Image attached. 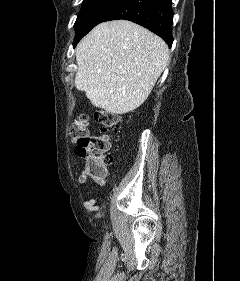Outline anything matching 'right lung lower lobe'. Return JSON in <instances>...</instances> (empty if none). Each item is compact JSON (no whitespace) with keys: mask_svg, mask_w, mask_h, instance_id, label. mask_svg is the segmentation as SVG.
Segmentation results:
<instances>
[{"mask_svg":"<svg viewBox=\"0 0 240 281\" xmlns=\"http://www.w3.org/2000/svg\"><path fill=\"white\" fill-rule=\"evenodd\" d=\"M172 18L171 0H118L97 24L110 20H129L154 32L171 47Z\"/></svg>","mask_w":240,"mask_h":281,"instance_id":"obj_1","label":"right lung lower lobe"}]
</instances>
